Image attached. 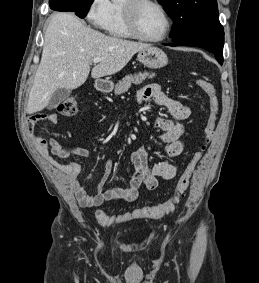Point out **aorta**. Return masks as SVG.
I'll return each instance as SVG.
<instances>
[{"label": "aorta", "mask_w": 259, "mask_h": 283, "mask_svg": "<svg viewBox=\"0 0 259 283\" xmlns=\"http://www.w3.org/2000/svg\"><path fill=\"white\" fill-rule=\"evenodd\" d=\"M113 2H118V1H120V0H112Z\"/></svg>", "instance_id": "762f6f07"}]
</instances>
